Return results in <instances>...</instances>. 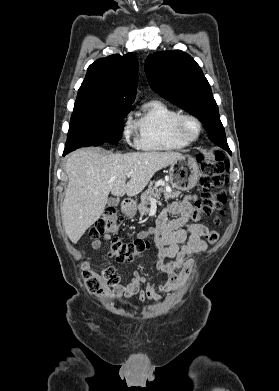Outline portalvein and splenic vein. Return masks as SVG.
<instances>
[{"mask_svg": "<svg viewBox=\"0 0 279 391\" xmlns=\"http://www.w3.org/2000/svg\"><path fill=\"white\" fill-rule=\"evenodd\" d=\"M131 176H132V172H129V173L127 174V177L130 178ZM160 183H161V182H158L157 185H159ZM150 200H151V203H156V202H157V201H156L155 199H153V198H151Z\"/></svg>", "mask_w": 279, "mask_h": 391, "instance_id": "18ae733b", "label": "portal vein and splenic vein"}]
</instances>
